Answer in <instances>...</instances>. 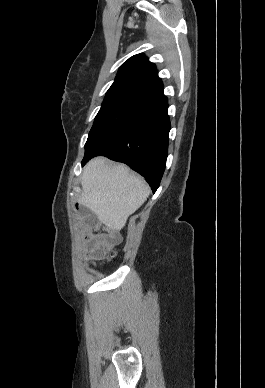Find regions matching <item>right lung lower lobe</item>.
Returning <instances> with one entry per match:
<instances>
[{
    "label": "right lung lower lobe",
    "instance_id": "right-lung-lower-lobe-1",
    "mask_svg": "<svg viewBox=\"0 0 265 388\" xmlns=\"http://www.w3.org/2000/svg\"><path fill=\"white\" fill-rule=\"evenodd\" d=\"M167 110L164 94L149 101L86 154L82 165L98 155L123 162L144 176L155 192L166 167L170 131Z\"/></svg>",
    "mask_w": 265,
    "mask_h": 388
}]
</instances>
